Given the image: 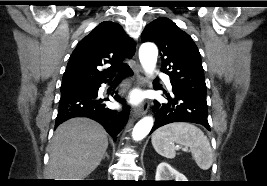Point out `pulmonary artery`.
<instances>
[{
  "label": "pulmonary artery",
  "instance_id": "1",
  "mask_svg": "<svg viewBox=\"0 0 267 186\" xmlns=\"http://www.w3.org/2000/svg\"><path fill=\"white\" fill-rule=\"evenodd\" d=\"M166 85H167L168 88H171V84H170V82L168 80H166Z\"/></svg>",
  "mask_w": 267,
  "mask_h": 186
}]
</instances>
